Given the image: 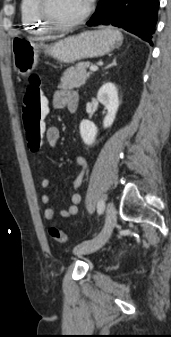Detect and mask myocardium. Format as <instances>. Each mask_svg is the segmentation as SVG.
<instances>
[{"label":"myocardium","instance_id":"f54148a6","mask_svg":"<svg viewBox=\"0 0 171 337\" xmlns=\"http://www.w3.org/2000/svg\"><path fill=\"white\" fill-rule=\"evenodd\" d=\"M38 10L41 19L50 27L54 29H67L79 25L85 21L92 11L91 4H88L85 11L75 19L68 21H61L56 19L51 11V0H38Z\"/></svg>","mask_w":171,"mask_h":337}]
</instances>
